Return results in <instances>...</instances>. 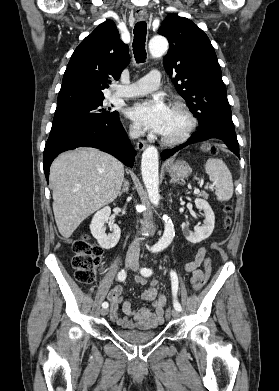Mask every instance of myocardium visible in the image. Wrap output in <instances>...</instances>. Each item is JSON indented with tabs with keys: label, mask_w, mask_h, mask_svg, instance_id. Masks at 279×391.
Instances as JSON below:
<instances>
[{
	"label": "myocardium",
	"mask_w": 279,
	"mask_h": 391,
	"mask_svg": "<svg viewBox=\"0 0 279 391\" xmlns=\"http://www.w3.org/2000/svg\"><path fill=\"white\" fill-rule=\"evenodd\" d=\"M170 109L180 111L187 119V127L185 130L176 137H167L161 134L160 138L164 144L177 145L185 142L192 132L194 131L197 120L191 110L182 102H174L171 104Z\"/></svg>",
	"instance_id": "obj_1"
}]
</instances>
